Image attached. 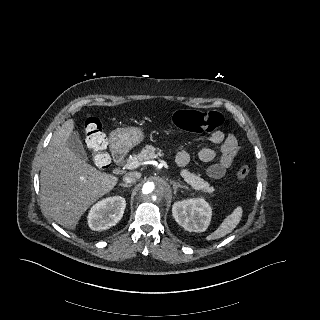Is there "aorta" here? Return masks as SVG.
I'll list each match as a JSON object with an SVG mask.
<instances>
[{
    "label": "aorta",
    "mask_w": 320,
    "mask_h": 320,
    "mask_svg": "<svg viewBox=\"0 0 320 320\" xmlns=\"http://www.w3.org/2000/svg\"><path fill=\"white\" fill-rule=\"evenodd\" d=\"M140 191L146 202L156 203L163 200L170 193V187L164 179L155 177L145 182L141 186Z\"/></svg>",
    "instance_id": "762f6f07"
}]
</instances>
